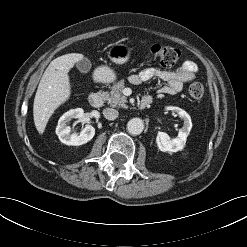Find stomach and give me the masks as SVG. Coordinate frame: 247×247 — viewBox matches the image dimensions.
Wrapping results in <instances>:
<instances>
[{
	"instance_id": "obj_1",
	"label": "stomach",
	"mask_w": 247,
	"mask_h": 247,
	"mask_svg": "<svg viewBox=\"0 0 247 247\" xmlns=\"http://www.w3.org/2000/svg\"><path fill=\"white\" fill-rule=\"evenodd\" d=\"M131 50L126 45L122 43H116L110 46L108 50L109 58L117 64H123L127 62L130 58ZM97 80L100 82H113L115 80V74L107 66H101L97 68L95 72Z\"/></svg>"
}]
</instances>
